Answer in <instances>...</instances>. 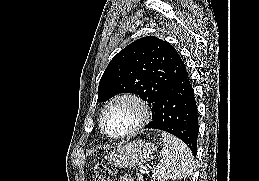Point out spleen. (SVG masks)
Listing matches in <instances>:
<instances>
[{
	"mask_svg": "<svg viewBox=\"0 0 259 181\" xmlns=\"http://www.w3.org/2000/svg\"><path fill=\"white\" fill-rule=\"evenodd\" d=\"M162 139V159L152 171V177L160 181L185 180L193 171L194 160L191 150L184 142L167 132H162Z\"/></svg>",
	"mask_w": 259,
	"mask_h": 181,
	"instance_id": "1",
	"label": "spleen"
}]
</instances>
